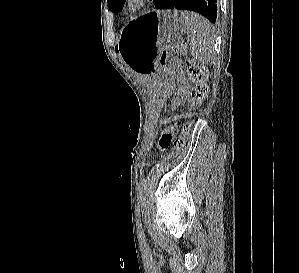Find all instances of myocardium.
<instances>
[{
    "label": "myocardium",
    "instance_id": "obj_1",
    "mask_svg": "<svg viewBox=\"0 0 299 273\" xmlns=\"http://www.w3.org/2000/svg\"><path fill=\"white\" fill-rule=\"evenodd\" d=\"M148 2L149 0H126L125 9L131 13L138 12L143 9Z\"/></svg>",
    "mask_w": 299,
    "mask_h": 273
}]
</instances>
